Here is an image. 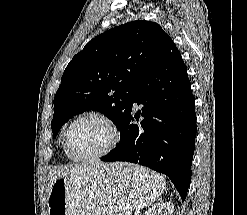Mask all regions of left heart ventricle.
<instances>
[{
    "mask_svg": "<svg viewBox=\"0 0 247 215\" xmlns=\"http://www.w3.org/2000/svg\"><path fill=\"white\" fill-rule=\"evenodd\" d=\"M110 138V131L103 123L84 119L73 126L69 135V148L74 156H87L103 150Z\"/></svg>",
    "mask_w": 247,
    "mask_h": 215,
    "instance_id": "1",
    "label": "left heart ventricle"
}]
</instances>
